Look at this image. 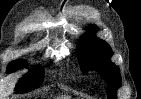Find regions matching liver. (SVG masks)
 Here are the masks:
<instances>
[{
    "label": "liver",
    "mask_w": 141,
    "mask_h": 99,
    "mask_svg": "<svg viewBox=\"0 0 141 99\" xmlns=\"http://www.w3.org/2000/svg\"><path fill=\"white\" fill-rule=\"evenodd\" d=\"M59 99H71L69 96H61Z\"/></svg>",
    "instance_id": "obj_1"
}]
</instances>
